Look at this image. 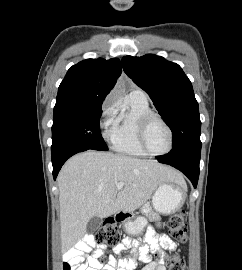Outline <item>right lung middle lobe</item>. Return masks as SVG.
Listing matches in <instances>:
<instances>
[{"instance_id":"1","label":"right lung middle lobe","mask_w":242,"mask_h":270,"mask_svg":"<svg viewBox=\"0 0 242 270\" xmlns=\"http://www.w3.org/2000/svg\"><path fill=\"white\" fill-rule=\"evenodd\" d=\"M101 114V105L54 107L52 158L73 149L108 150L100 133Z\"/></svg>"}]
</instances>
